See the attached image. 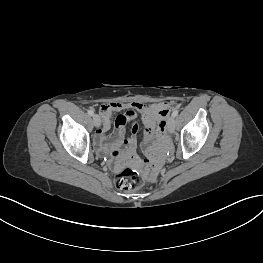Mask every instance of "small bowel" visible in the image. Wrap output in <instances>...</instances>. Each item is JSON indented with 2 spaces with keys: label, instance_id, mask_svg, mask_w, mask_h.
<instances>
[{
  "label": "small bowel",
  "instance_id": "obj_1",
  "mask_svg": "<svg viewBox=\"0 0 263 263\" xmlns=\"http://www.w3.org/2000/svg\"><path fill=\"white\" fill-rule=\"evenodd\" d=\"M102 116V128L98 131L95 144L99 152L115 164H139L137 154L139 124L137 115H141L144 130L141 145L147 156L142 157L141 166L147 169L150 177H155L161 167L164 147L159 144L165 135L168 119L174 114L175 107L167 102L159 103H104L99 107ZM117 116L112 131L111 114L121 112ZM131 125V134L126 137L124 129Z\"/></svg>",
  "mask_w": 263,
  "mask_h": 263
}]
</instances>
